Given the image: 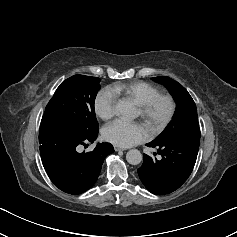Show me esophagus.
<instances>
[{
  "instance_id": "esophagus-1",
  "label": "esophagus",
  "mask_w": 237,
  "mask_h": 237,
  "mask_svg": "<svg viewBox=\"0 0 237 237\" xmlns=\"http://www.w3.org/2000/svg\"><path fill=\"white\" fill-rule=\"evenodd\" d=\"M114 150H115V151H121V150H124V149L121 148V147H118V146H115V145H114Z\"/></svg>"
}]
</instances>
